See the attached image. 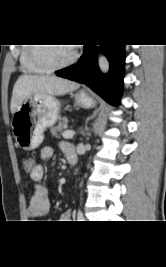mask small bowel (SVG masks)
I'll list each match as a JSON object with an SVG mask.
<instances>
[{"label": "small bowel", "instance_id": "1", "mask_svg": "<svg viewBox=\"0 0 166 267\" xmlns=\"http://www.w3.org/2000/svg\"><path fill=\"white\" fill-rule=\"evenodd\" d=\"M61 149L66 158L76 157L73 146L70 143L63 142ZM54 150L50 146H45L40 151V158L42 160H49L53 156ZM44 176V168L40 163H35L34 168L30 171V178L33 182V193L27 209V214L32 218H39L45 216L51 209V201L47 188L42 184ZM73 214L70 210L66 211L62 217L61 222H71Z\"/></svg>", "mask_w": 166, "mask_h": 267}]
</instances>
